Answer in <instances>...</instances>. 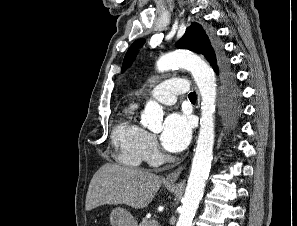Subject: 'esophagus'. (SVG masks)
I'll return each mask as SVG.
<instances>
[{
  "label": "esophagus",
  "mask_w": 297,
  "mask_h": 226,
  "mask_svg": "<svg viewBox=\"0 0 297 226\" xmlns=\"http://www.w3.org/2000/svg\"><path fill=\"white\" fill-rule=\"evenodd\" d=\"M183 169H184V166L178 167L176 170H174L173 172L167 175L166 180L168 182H176L180 177Z\"/></svg>",
  "instance_id": "34e87169"
}]
</instances>
